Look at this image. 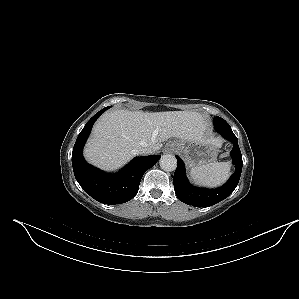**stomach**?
<instances>
[{
    "instance_id": "obj_1",
    "label": "stomach",
    "mask_w": 299,
    "mask_h": 299,
    "mask_svg": "<svg viewBox=\"0 0 299 299\" xmlns=\"http://www.w3.org/2000/svg\"><path fill=\"white\" fill-rule=\"evenodd\" d=\"M176 152L182 154L190 167H197L211 163L216 157L221 146L216 138H202L193 141H174Z\"/></svg>"
}]
</instances>
